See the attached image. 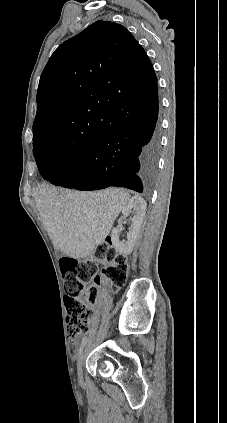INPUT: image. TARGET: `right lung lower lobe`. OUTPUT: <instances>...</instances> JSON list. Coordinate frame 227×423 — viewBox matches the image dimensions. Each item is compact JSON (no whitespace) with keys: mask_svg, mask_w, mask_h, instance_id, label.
Instances as JSON below:
<instances>
[{"mask_svg":"<svg viewBox=\"0 0 227 423\" xmlns=\"http://www.w3.org/2000/svg\"><path fill=\"white\" fill-rule=\"evenodd\" d=\"M158 110V89L148 99L111 106L108 114L124 122L123 126L103 131L91 145L90 153L66 171L39 166L41 176L54 185L77 190L117 186L141 193L149 191L160 151Z\"/></svg>","mask_w":227,"mask_h":423,"instance_id":"1","label":"right lung lower lobe"}]
</instances>
